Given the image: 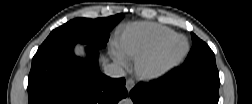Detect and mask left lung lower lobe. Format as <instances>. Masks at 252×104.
<instances>
[{"mask_svg":"<svg viewBox=\"0 0 252 104\" xmlns=\"http://www.w3.org/2000/svg\"><path fill=\"white\" fill-rule=\"evenodd\" d=\"M219 72L216 64L182 65L131 91L134 104H218Z\"/></svg>","mask_w":252,"mask_h":104,"instance_id":"left-lung-lower-lobe-1","label":"left lung lower lobe"}]
</instances>
